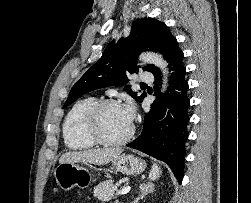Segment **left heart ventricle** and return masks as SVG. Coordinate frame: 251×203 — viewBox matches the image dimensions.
<instances>
[{
	"instance_id": "left-heart-ventricle-1",
	"label": "left heart ventricle",
	"mask_w": 251,
	"mask_h": 203,
	"mask_svg": "<svg viewBox=\"0 0 251 203\" xmlns=\"http://www.w3.org/2000/svg\"><path fill=\"white\" fill-rule=\"evenodd\" d=\"M100 128L107 138L119 139L129 132L131 123L121 106H110L101 115Z\"/></svg>"
}]
</instances>
